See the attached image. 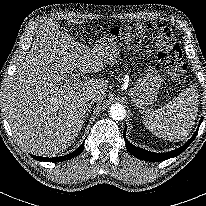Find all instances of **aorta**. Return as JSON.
Returning a JSON list of instances; mask_svg holds the SVG:
<instances>
[{
	"mask_svg": "<svg viewBox=\"0 0 206 206\" xmlns=\"http://www.w3.org/2000/svg\"><path fill=\"white\" fill-rule=\"evenodd\" d=\"M109 115L114 120H122L126 115L125 107L119 103L113 104L110 107Z\"/></svg>",
	"mask_w": 206,
	"mask_h": 206,
	"instance_id": "1",
	"label": "aorta"
}]
</instances>
